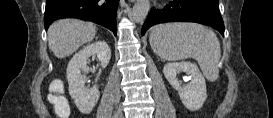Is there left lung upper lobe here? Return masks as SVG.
<instances>
[{"mask_svg":"<svg viewBox=\"0 0 273 118\" xmlns=\"http://www.w3.org/2000/svg\"><path fill=\"white\" fill-rule=\"evenodd\" d=\"M213 4L219 6V0H210Z\"/></svg>","mask_w":273,"mask_h":118,"instance_id":"1","label":"left lung upper lobe"}]
</instances>
